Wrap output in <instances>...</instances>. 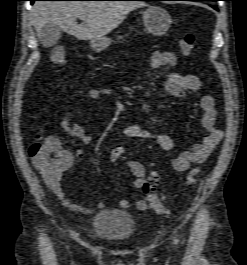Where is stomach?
Returning a JSON list of instances; mask_svg holds the SVG:
<instances>
[{
	"label": "stomach",
	"mask_w": 247,
	"mask_h": 265,
	"mask_svg": "<svg viewBox=\"0 0 247 265\" xmlns=\"http://www.w3.org/2000/svg\"><path fill=\"white\" fill-rule=\"evenodd\" d=\"M143 23L145 29L156 36H161L169 29L172 19L169 13L159 6H149L143 12ZM119 39H122L120 36ZM112 43V40L103 37L98 40H91L90 46L95 52L106 50Z\"/></svg>",
	"instance_id": "1"
}]
</instances>
